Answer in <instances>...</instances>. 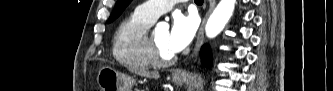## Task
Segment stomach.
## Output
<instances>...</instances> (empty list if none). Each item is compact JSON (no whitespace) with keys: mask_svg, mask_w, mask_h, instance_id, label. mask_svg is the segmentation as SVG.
Segmentation results:
<instances>
[{"mask_svg":"<svg viewBox=\"0 0 333 91\" xmlns=\"http://www.w3.org/2000/svg\"><path fill=\"white\" fill-rule=\"evenodd\" d=\"M173 82L182 85L185 78L173 77ZM135 83L136 80L133 77L118 72L109 66L102 67L97 75V84L100 91H131Z\"/></svg>","mask_w":333,"mask_h":91,"instance_id":"obj_1","label":"stomach"}]
</instances>
